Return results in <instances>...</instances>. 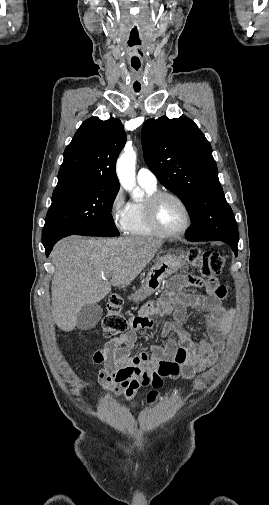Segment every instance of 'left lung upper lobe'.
<instances>
[{"mask_svg": "<svg viewBox=\"0 0 269 505\" xmlns=\"http://www.w3.org/2000/svg\"><path fill=\"white\" fill-rule=\"evenodd\" d=\"M141 137L148 168L190 212L187 239L238 243L236 221L218 179L211 145L197 125L185 116L148 119Z\"/></svg>", "mask_w": 269, "mask_h": 505, "instance_id": "5c2ea615", "label": "left lung upper lobe"}]
</instances>
